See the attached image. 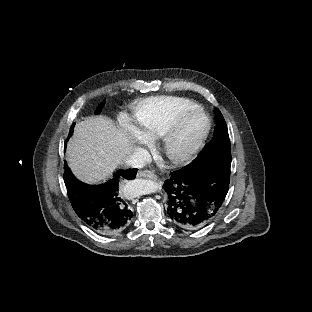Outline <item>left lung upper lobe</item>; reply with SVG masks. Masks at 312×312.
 <instances>
[{
	"label": "left lung upper lobe",
	"mask_w": 312,
	"mask_h": 312,
	"mask_svg": "<svg viewBox=\"0 0 312 312\" xmlns=\"http://www.w3.org/2000/svg\"><path fill=\"white\" fill-rule=\"evenodd\" d=\"M216 127L214 137L205 150L193 161L194 164L218 158L220 155L231 157L230 139L226 122L221 112L215 108Z\"/></svg>",
	"instance_id": "5c2ea615"
}]
</instances>
